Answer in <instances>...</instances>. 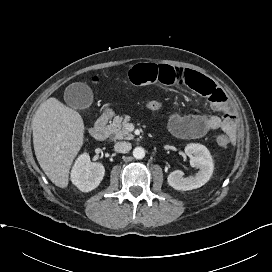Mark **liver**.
I'll use <instances>...</instances> for the list:
<instances>
[{"label":"liver","instance_id":"6515ba94","mask_svg":"<svg viewBox=\"0 0 272 272\" xmlns=\"http://www.w3.org/2000/svg\"><path fill=\"white\" fill-rule=\"evenodd\" d=\"M32 128L39 165L56 186L66 188L71 165L84 142L81 115L51 97L36 111Z\"/></svg>","mask_w":272,"mask_h":272}]
</instances>
